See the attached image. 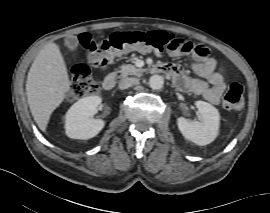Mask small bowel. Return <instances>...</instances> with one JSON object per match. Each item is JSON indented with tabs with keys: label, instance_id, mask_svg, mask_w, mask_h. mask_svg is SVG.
Segmentation results:
<instances>
[{
	"label": "small bowel",
	"instance_id": "c3829d8e",
	"mask_svg": "<svg viewBox=\"0 0 270 213\" xmlns=\"http://www.w3.org/2000/svg\"><path fill=\"white\" fill-rule=\"evenodd\" d=\"M216 66L215 58L209 53L192 62L191 70L203 80L185 77L182 67L178 64H164L159 67L165 68L170 73L181 90L202 95L208 102L216 104L227 87L222 74L216 71Z\"/></svg>",
	"mask_w": 270,
	"mask_h": 213
}]
</instances>
